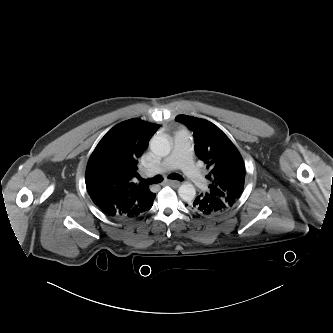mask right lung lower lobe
Wrapping results in <instances>:
<instances>
[{"mask_svg":"<svg viewBox=\"0 0 333 333\" xmlns=\"http://www.w3.org/2000/svg\"><path fill=\"white\" fill-rule=\"evenodd\" d=\"M155 197H156V195L153 193L151 196V200H150L151 201L150 206L146 210H143L142 212H140V211L136 212V213L127 212L122 207H120L118 205H114V204L99 205L98 207L102 210V212H104L108 216L121 218V219H128V218L137 217L141 213L150 209L152 207L153 200Z\"/></svg>","mask_w":333,"mask_h":333,"instance_id":"right-lung-lower-lobe-1","label":"right lung lower lobe"}]
</instances>
